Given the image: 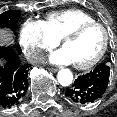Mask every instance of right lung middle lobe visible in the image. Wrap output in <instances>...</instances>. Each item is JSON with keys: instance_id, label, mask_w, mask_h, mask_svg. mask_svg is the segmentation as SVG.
Listing matches in <instances>:
<instances>
[{"instance_id": "1", "label": "right lung middle lobe", "mask_w": 117, "mask_h": 117, "mask_svg": "<svg viewBox=\"0 0 117 117\" xmlns=\"http://www.w3.org/2000/svg\"><path fill=\"white\" fill-rule=\"evenodd\" d=\"M20 15L19 10H9L0 14V28H9L15 32Z\"/></svg>"}]
</instances>
